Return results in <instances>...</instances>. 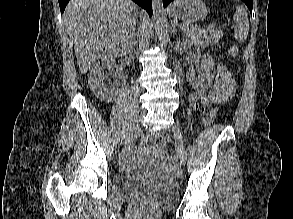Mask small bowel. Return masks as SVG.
I'll return each mask as SVG.
<instances>
[{"instance_id":"obj_1","label":"small bowel","mask_w":293,"mask_h":219,"mask_svg":"<svg viewBox=\"0 0 293 219\" xmlns=\"http://www.w3.org/2000/svg\"><path fill=\"white\" fill-rule=\"evenodd\" d=\"M235 81L231 73L224 65H218L216 69V79L211 90L207 93L195 92L189 96V102L195 108H204L213 103L224 104L234 95Z\"/></svg>"}]
</instances>
